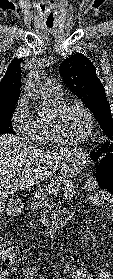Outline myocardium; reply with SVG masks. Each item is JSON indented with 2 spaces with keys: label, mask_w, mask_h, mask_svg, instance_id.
Instances as JSON below:
<instances>
[{
  "label": "myocardium",
  "mask_w": 113,
  "mask_h": 279,
  "mask_svg": "<svg viewBox=\"0 0 113 279\" xmlns=\"http://www.w3.org/2000/svg\"><path fill=\"white\" fill-rule=\"evenodd\" d=\"M70 104L78 105L83 110V112L85 113L87 120H88L87 131L82 136H79V137H68V136L63 135L60 132V130L56 124V118H57L58 114L66 106H68ZM48 124H49L50 130L52 132L54 139L60 143L78 144V143L84 142L92 136L93 131H94V117H93L91 111L81 100L76 99V98H66V99H62L59 102H57L53 106V108L48 116Z\"/></svg>",
  "instance_id": "obj_1"
}]
</instances>
